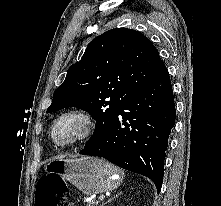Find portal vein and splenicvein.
<instances>
[{"label":"portal vein and splenic vein","mask_w":221,"mask_h":206,"mask_svg":"<svg viewBox=\"0 0 221 206\" xmlns=\"http://www.w3.org/2000/svg\"><path fill=\"white\" fill-rule=\"evenodd\" d=\"M98 199H99V200L105 199V195H101Z\"/></svg>","instance_id":"portal-vein-and-splenic-vein-1"}]
</instances>
